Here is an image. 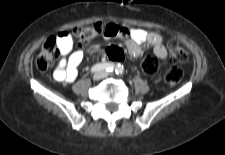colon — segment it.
<instances>
[{
	"label": "colon",
	"instance_id": "obj_1",
	"mask_svg": "<svg viewBox=\"0 0 225 155\" xmlns=\"http://www.w3.org/2000/svg\"><path fill=\"white\" fill-rule=\"evenodd\" d=\"M112 27L108 24L94 23L88 26L77 27L73 30L72 34L77 38L81 45H87L94 41L99 35L112 31ZM169 57L172 63L175 64L164 77L167 85L177 84L183 76L182 69L177 66L184 63L188 59L187 52L176 40L168 42ZM59 47L56 44V37H49L42 45L40 52L36 58V67L38 70L47 71L56 61L59 55ZM106 55L109 59L115 62H121L125 58L123 50L116 46H110L106 50ZM141 69L145 74H155L158 69V63L148 58L141 64Z\"/></svg>",
	"mask_w": 225,
	"mask_h": 155
}]
</instances>
